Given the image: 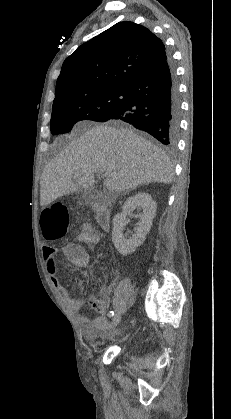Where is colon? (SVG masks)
Returning <instances> with one entry per match:
<instances>
[{"mask_svg":"<svg viewBox=\"0 0 231 419\" xmlns=\"http://www.w3.org/2000/svg\"><path fill=\"white\" fill-rule=\"evenodd\" d=\"M42 225L46 233L55 237L64 234L68 229V210L62 204H54L43 211Z\"/></svg>","mask_w":231,"mask_h":419,"instance_id":"colon-1","label":"colon"}]
</instances>
